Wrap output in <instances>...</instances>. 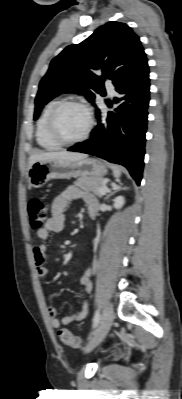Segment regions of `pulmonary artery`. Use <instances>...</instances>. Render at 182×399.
<instances>
[{
	"mask_svg": "<svg viewBox=\"0 0 182 399\" xmlns=\"http://www.w3.org/2000/svg\"><path fill=\"white\" fill-rule=\"evenodd\" d=\"M105 86H106V89L108 90V92H109L111 95H114V94L116 93L115 88H114V85H113L110 81H107L106 84H105Z\"/></svg>",
	"mask_w": 182,
	"mask_h": 399,
	"instance_id": "pulmonary-artery-1",
	"label": "pulmonary artery"
}]
</instances>
